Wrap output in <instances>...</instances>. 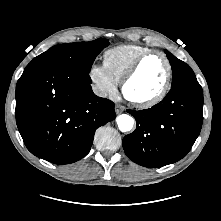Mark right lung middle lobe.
Segmentation results:
<instances>
[{"label":"right lung middle lobe","mask_w":221,"mask_h":221,"mask_svg":"<svg viewBox=\"0 0 221 221\" xmlns=\"http://www.w3.org/2000/svg\"><path fill=\"white\" fill-rule=\"evenodd\" d=\"M109 45L106 39L59 44L35 57L27 67L52 65L79 69L89 73L96 56Z\"/></svg>","instance_id":"obj_1"}]
</instances>
